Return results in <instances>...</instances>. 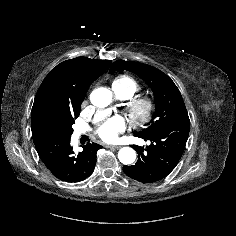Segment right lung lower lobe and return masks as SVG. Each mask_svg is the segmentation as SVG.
Returning a JSON list of instances; mask_svg holds the SVG:
<instances>
[{"instance_id":"right-lung-lower-lobe-1","label":"right lung lower lobe","mask_w":236,"mask_h":236,"mask_svg":"<svg viewBox=\"0 0 236 236\" xmlns=\"http://www.w3.org/2000/svg\"><path fill=\"white\" fill-rule=\"evenodd\" d=\"M32 137L40 159L56 178L79 182L93 173L99 144L87 143L82 152L74 154L70 137L43 132L33 133Z\"/></svg>"}]
</instances>
